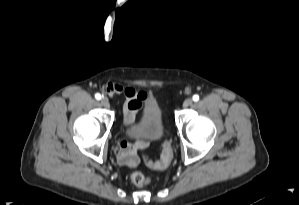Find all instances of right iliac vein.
Listing matches in <instances>:
<instances>
[{
  "instance_id": "63e3f726",
  "label": "right iliac vein",
  "mask_w": 299,
  "mask_h": 205,
  "mask_svg": "<svg viewBox=\"0 0 299 205\" xmlns=\"http://www.w3.org/2000/svg\"><path fill=\"white\" fill-rule=\"evenodd\" d=\"M101 104L106 107V108H109L110 107V103L109 101L106 99V98H102L101 99Z\"/></svg>"
}]
</instances>
